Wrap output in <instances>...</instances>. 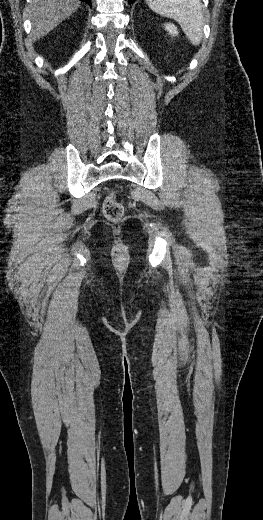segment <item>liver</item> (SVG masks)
I'll list each match as a JSON object with an SVG mask.
<instances>
[{"instance_id":"obj_1","label":"liver","mask_w":263,"mask_h":520,"mask_svg":"<svg viewBox=\"0 0 263 520\" xmlns=\"http://www.w3.org/2000/svg\"><path fill=\"white\" fill-rule=\"evenodd\" d=\"M80 4L79 0H31L28 10L32 23V40L36 41L47 35L77 11Z\"/></svg>"}]
</instances>
